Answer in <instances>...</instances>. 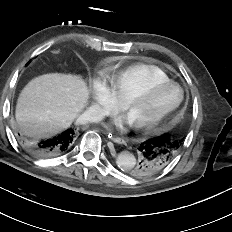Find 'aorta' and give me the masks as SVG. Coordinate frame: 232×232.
Masks as SVG:
<instances>
[{
    "label": "aorta",
    "instance_id": "1",
    "mask_svg": "<svg viewBox=\"0 0 232 232\" xmlns=\"http://www.w3.org/2000/svg\"><path fill=\"white\" fill-rule=\"evenodd\" d=\"M116 163L119 168L123 170H129L135 166L136 158L132 153L123 151L118 154L116 158Z\"/></svg>",
    "mask_w": 232,
    "mask_h": 232
}]
</instances>
